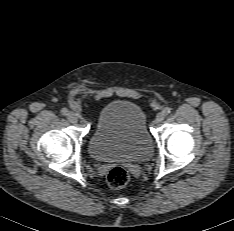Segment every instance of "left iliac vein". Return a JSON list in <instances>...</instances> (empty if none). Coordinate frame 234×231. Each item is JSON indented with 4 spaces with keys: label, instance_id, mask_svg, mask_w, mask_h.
Here are the masks:
<instances>
[{
    "label": "left iliac vein",
    "instance_id": "1",
    "mask_svg": "<svg viewBox=\"0 0 234 231\" xmlns=\"http://www.w3.org/2000/svg\"><path fill=\"white\" fill-rule=\"evenodd\" d=\"M164 119H165V114H164V112H159V113L156 115V122H157V123L162 122Z\"/></svg>",
    "mask_w": 234,
    "mask_h": 231
}]
</instances>
